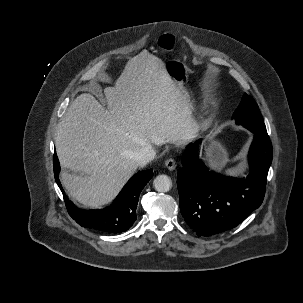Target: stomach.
Wrapping results in <instances>:
<instances>
[{
	"label": "stomach",
	"instance_id": "obj_1",
	"mask_svg": "<svg viewBox=\"0 0 303 303\" xmlns=\"http://www.w3.org/2000/svg\"><path fill=\"white\" fill-rule=\"evenodd\" d=\"M164 65L175 83L183 87L189 73L187 65L178 59H170ZM205 155L208 164L216 170H222L229 161L226 148L217 140L211 139L208 144H205Z\"/></svg>",
	"mask_w": 303,
	"mask_h": 303
}]
</instances>
